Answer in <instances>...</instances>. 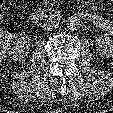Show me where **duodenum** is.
Segmentation results:
<instances>
[{
  "label": "duodenum",
  "mask_w": 113,
  "mask_h": 113,
  "mask_svg": "<svg viewBox=\"0 0 113 113\" xmlns=\"http://www.w3.org/2000/svg\"><path fill=\"white\" fill-rule=\"evenodd\" d=\"M80 16L84 19H87L88 16L85 13H81ZM39 19H46V20H60L61 15L57 11L51 10H38L30 15V20L36 21Z\"/></svg>",
  "instance_id": "1"
}]
</instances>
